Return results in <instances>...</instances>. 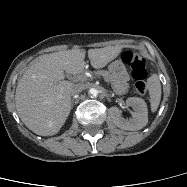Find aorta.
<instances>
[{
    "mask_svg": "<svg viewBox=\"0 0 187 187\" xmlns=\"http://www.w3.org/2000/svg\"><path fill=\"white\" fill-rule=\"evenodd\" d=\"M89 93H90L91 95H93V96H97V95H98V91H97L96 89H94V88H91V89L89 90Z\"/></svg>",
    "mask_w": 187,
    "mask_h": 187,
    "instance_id": "aorta-1",
    "label": "aorta"
}]
</instances>
